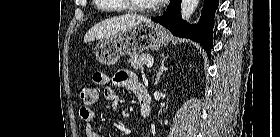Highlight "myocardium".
<instances>
[{
	"mask_svg": "<svg viewBox=\"0 0 280 137\" xmlns=\"http://www.w3.org/2000/svg\"><path fill=\"white\" fill-rule=\"evenodd\" d=\"M128 4V8L132 11H138V12H145V13H151L157 10L158 5H152L149 7H142L136 4H132L131 2H133L132 0H127Z\"/></svg>",
	"mask_w": 280,
	"mask_h": 137,
	"instance_id": "myocardium-1",
	"label": "myocardium"
}]
</instances>
